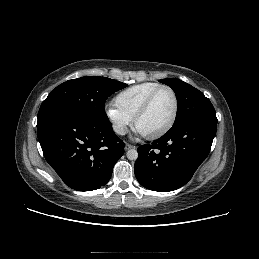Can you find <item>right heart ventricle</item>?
Wrapping results in <instances>:
<instances>
[{"label": "right heart ventricle", "mask_w": 259, "mask_h": 259, "mask_svg": "<svg viewBox=\"0 0 259 259\" xmlns=\"http://www.w3.org/2000/svg\"><path fill=\"white\" fill-rule=\"evenodd\" d=\"M160 84L144 82L120 91L114 98L115 106L130 119H133L147 96Z\"/></svg>", "instance_id": "1"}]
</instances>
